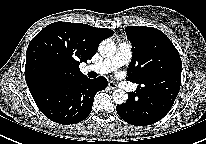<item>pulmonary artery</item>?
Returning a JSON list of instances; mask_svg holds the SVG:
<instances>
[{"mask_svg": "<svg viewBox=\"0 0 206 144\" xmlns=\"http://www.w3.org/2000/svg\"><path fill=\"white\" fill-rule=\"evenodd\" d=\"M132 57L131 45L128 42H122L118 45L117 52L111 58L92 64L88 67L90 71L99 74L112 72L119 67L129 63Z\"/></svg>", "mask_w": 206, "mask_h": 144, "instance_id": "pulmonary-artery-1", "label": "pulmonary artery"}]
</instances>
